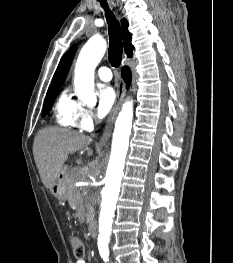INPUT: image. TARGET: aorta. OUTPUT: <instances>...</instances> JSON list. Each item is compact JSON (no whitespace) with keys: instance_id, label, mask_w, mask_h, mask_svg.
<instances>
[{"instance_id":"1","label":"aorta","mask_w":233,"mask_h":263,"mask_svg":"<svg viewBox=\"0 0 233 263\" xmlns=\"http://www.w3.org/2000/svg\"><path fill=\"white\" fill-rule=\"evenodd\" d=\"M105 51V40L92 37L79 53L75 67L74 85L78 99L83 102H91L94 99V70L104 56ZM132 119L133 103L127 101L115 123L106 183L101 191L98 248L103 258L109 256L108 244L129 146Z\"/></svg>"}]
</instances>
